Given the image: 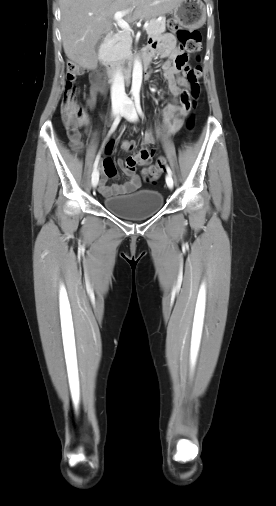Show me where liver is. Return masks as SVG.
Returning <instances> with one entry per match:
<instances>
[{
  "mask_svg": "<svg viewBox=\"0 0 276 506\" xmlns=\"http://www.w3.org/2000/svg\"><path fill=\"white\" fill-rule=\"evenodd\" d=\"M182 0H60L61 35L66 56L80 66L97 65L95 46L112 29V17L129 10L126 21L155 18L174 10Z\"/></svg>",
  "mask_w": 276,
  "mask_h": 506,
  "instance_id": "liver-1",
  "label": "liver"
}]
</instances>
